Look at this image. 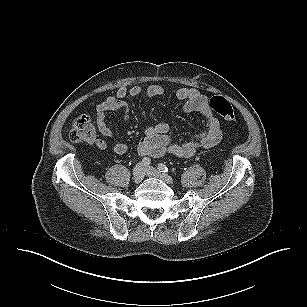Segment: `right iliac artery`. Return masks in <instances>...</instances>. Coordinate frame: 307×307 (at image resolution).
Masks as SVG:
<instances>
[{
    "instance_id": "82829eb1",
    "label": "right iliac artery",
    "mask_w": 307,
    "mask_h": 307,
    "mask_svg": "<svg viewBox=\"0 0 307 307\" xmlns=\"http://www.w3.org/2000/svg\"><path fill=\"white\" fill-rule=\"evenodd\" d=\"M150 163H151V160L149 158L145 157V158L142 159V164L144 166H149Z\"/></svg>"
}]
</instances>
